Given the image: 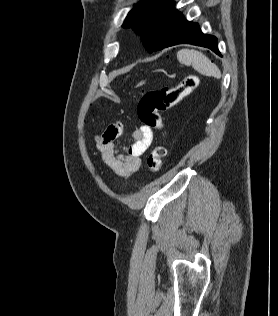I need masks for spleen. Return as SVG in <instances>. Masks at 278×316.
<instances>
[{"label":"spleen","instance_id":"1","mask_svg":"<svg viewBox=\"0 0 278 316\" xmlns=\"http://www.w3.org/2000/svg\"><path fill=\"white\" fill-rule=\"evenodd\" d=\"M177 59L180 63L185 65H192V67L199 73L212 76L216 78L221 77L219 68L211 62L203 53L192 49H181L177 53Z\"/></svg>","mask_w":278,"mask_h":316}]
</instances>
